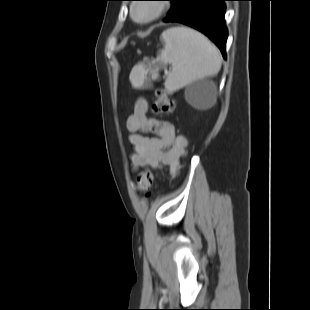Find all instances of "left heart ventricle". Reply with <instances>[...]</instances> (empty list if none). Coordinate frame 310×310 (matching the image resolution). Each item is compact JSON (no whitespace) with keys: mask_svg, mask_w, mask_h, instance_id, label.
Listing matches in <instances>:
<instances>
[{"mask_svg":"<svg viewBox=\"0 0 310 310\" xmlns=\"http://www.w3.org/2000/svg\"><path fill=\"white\" fill-rule=\"evenodd\" d=\"M150 13L149 7L142 6L137 9L136 14L138 17H145Z\"/></svg>","mask_w":310,"mask_h":310,"instance_id":"left-heart-ventricle-1","label":"left heart ventricle"}]
</instances>
